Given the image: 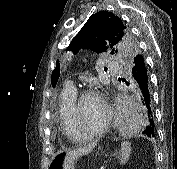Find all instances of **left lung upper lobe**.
I'll use <instances>...</instances> for the list:
<instances>
[{"label":"left lung upper lobe","instance_id":"1","mask_svg":"<svg viewBox=\"0 0 177 169\" xmlns=\"http://www.w3.org/2000/svg\"><path fill=\"white\" fill-rule=\"evenodd\" d=\"M81 48L96 53L111 51L129 62L139 54L138 45L129 27L108 11H99L92 15L79 33L73 38L67 51L78 53ZM53 87L57 79H51Z\"/></svg>","mask_w":177,"mask_h":169}]
</instances>
